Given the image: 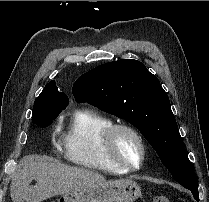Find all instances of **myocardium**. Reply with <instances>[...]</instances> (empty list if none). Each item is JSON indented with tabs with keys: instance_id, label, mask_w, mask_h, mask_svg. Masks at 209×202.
<instances>
[{
	"instance_id": "1",
	"label": "myocardium",
	"mask_w": 209,
	"mask_h": 202,
	"mask_svg": "<svg viewBox=\"0 0 209 202\" xmlns=\"http://www.w3.org/2000/svg\"><path fill=\"white\" fill-rule=\"evenodd\" d=\"M119 132H128L131 135H133L135 139L138 141L141 149V160L139 164L133 165L123 160L117 155L114 142H115V137ZM103 150L107 158L114 165L123 168L127 171L139 170L143 166L147 157V145L144 140V137L137 128L127 123H114L109 127L103 139Z\"/></svg>"
}]
</instances>
